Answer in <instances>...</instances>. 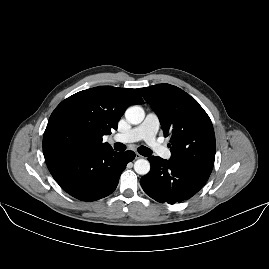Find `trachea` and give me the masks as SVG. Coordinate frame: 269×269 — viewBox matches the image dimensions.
<instances>
[{
  "mask_svg": "<svg viewBox=\"0 0 269 269\" xmlns=\"http://www.w3.org/2000/svg\"><path fill=\"white\" fill-rule=\"evenodd\" d=\"M114 149L117 150V151H125L126 147L122 143H115L114 144ZM138 152H139V154H141L143 156H150L152 154V151L149 148L145 147V146H140L138 148Z\"/></svg>",
  "mask_w": 269,
  "mask_h": 269,
  "instance_id": "1",
  "label": "trachea"
}]
</instances>
